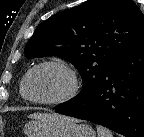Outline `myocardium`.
Listing matches in <instances>:
<instances>
[{
	"label": "myocardium",
	"instance_id": "myocardium-1",
	"mask_svg": "<svg viewBox=\"0 0 144 137\" xmlns=\"http://www.w3.org/2000/svg\"><path fill=\"white\" fill-rule=\"evenodd\" d=\"M44 67L57 68L63 71L67 75L70 84L65 94L55 99H37L28 95L27 84H28L30 77L32 76L34 72ZM79 87H80L79 77L73 67L59 60H46V61H42V62L35 64L26 72L21 82L20 92L24 99L32 103L43 104V105H60V104L69 102L73 98H75V96L78 93Z\"/></svg>",
	"mask_w": 144,
	"mask_h": 137
}]
</instances>
